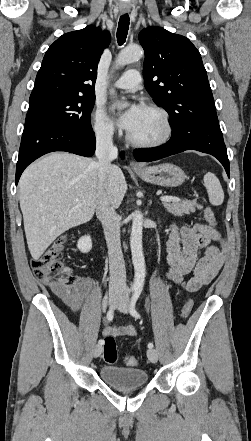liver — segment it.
<instances>
[{"label": "liver", "instance_id": "liver-1", "mask_svg": "<svg viewBox=\"0 0 251 441\" xmlns=\"http://www.w3.org/2000/svg\"><path fill=\"white\" fill-rule=\"evenodd\" d=\"M106 190L117 207L127 190L121 169L112 165ZM99 192L97 162L71 153L44 156L23 172L19 200L31 256L38 260L65 231L94 215Z\"/></svg>", "mask_w": 251, "mask_h": 441}]
</instances>
